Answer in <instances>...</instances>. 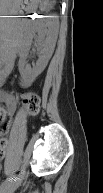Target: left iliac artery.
<instances>
[{
	"instance_id": "1",
	"label": "left iliac artery",
	"mask_w": 103,
	"mask_h": 193,
	"mask_svg": "<svg viewBox=\"0 0 103 193\" xmlns=\"http://www.w3.org/2000/svg\"><path fill=\"white\" fill-rule=\"evenodd\" d=\"M20 171H19V166H17L15 168V170L13 171L12 175L10 177H8L1 185V188H6L8 186H10L14 181H16L18 179V175H19Z\"/></svg>"
}]
</instances>
